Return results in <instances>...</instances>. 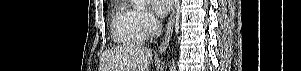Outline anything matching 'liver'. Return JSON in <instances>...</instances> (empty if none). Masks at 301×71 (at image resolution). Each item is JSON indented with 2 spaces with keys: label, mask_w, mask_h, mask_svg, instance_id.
Wrapping results in <instances>:
<instances>
[{
  "label": "liver",
  "mask_w": 301,
  "mask_h": 71,
  "mask_svg": "<svg viewBox=\"0 0 301 71\" xmlns=\"http://www.w3.org/2000/svg\"><path fill=\"white\" fill-rule=\"evenodd\" d=\"M151 49L141 45L113 48L104 53L103 71H149Z\"/></svg>",
  "instance_id": "obj_1"
}]
</instances>
